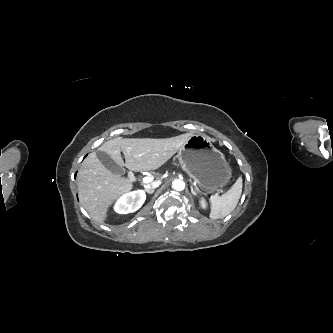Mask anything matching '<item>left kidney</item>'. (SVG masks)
<instances>
[{
  "label": "left kidney",
  "instance_id": "1",
  "mask_svg": "<svg viewBox=\"0 0 333 333\" xmlns=\"http://www.w3.org/2000/svg\"><path fill=\"white\" fill-rule=\"evenodd\" d=\"M201 205H202V207H203V208H205V207H206V202H205V200H204V199H202V200H201Z\"/></svg>",
  "mask_w": 333,
  "mask_h": 333
}]
</instances>
